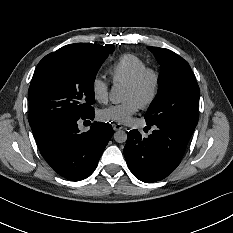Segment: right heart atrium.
I'll return each mask as SVG.
<instances>
[{"label": "right heart atrium", "instance_id": "obj_1", "mask_svg": "<svg viewBox=\"0 0 233 233\" xmlns=\"http://www.w3.org/2000/svg\"><path fill=\"white\" fill-rule=\"evenodd\" d=\"M93 96L97 101L105 102L108 99L109 84L107 81L96 76L91 82Z\"/></svg>", "mask_w": 233, "mask_h": 233}]
</instances>
